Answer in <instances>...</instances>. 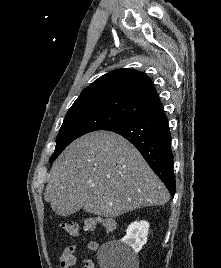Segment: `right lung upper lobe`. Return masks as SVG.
<instances>
[{
  "mask_svg": "<svg viewBox=\"0 0 221 268\" xmlns=\"http://www.w3.org/2000/svg\"><path fill=\"white\" fill-rule=\"evenodd\" d=\"M107 110L131 120L162 109L148 76L119 69L101 76L85 88L68 112Z\"/></svg>",
  "mask_w": 221,
  "mask_h": 268,
  "instance_id": "obj_1",
  "label": "right lung upper lobe"
}]
</instances>
